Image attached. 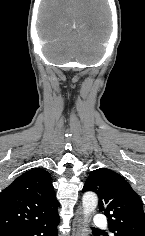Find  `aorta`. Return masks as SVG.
Masks as SVG:
<instances>
[{
	"label": "aorta",
	"mask_w": 145,
	"mask_h": 236,
	"mask_svg": "<svg viewBox=\"0 0 145 236\" xmlns=\"http://www.w3.org/2000/svg\"><path fill=\"white\" fill-rule=\"evenodd\" d=\"M98 204V198L97 195L93 192H86L83 195L82 198V205H83V213H84V222H85V227L83 229L84 234H82L83 236H86L87 234L85 233L86 230V226H87V222H88V217L92 214V212L95 210V208L97 207Z\"/></svg>",
	"instance_id": "762f6f07"
}]
</instances>
